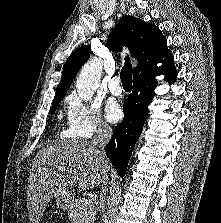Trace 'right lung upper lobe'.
I'll list each match as a JSON object with an SVG mask.
<instances>
[{
    "label": "right lung upper lobe",
    "mask_w": 221,
    "mask_h": 223,
    "mask_svg": "<svg viewBox=\"0 0 221 223\" xmlns=\"http://www.w3.org/2000/svg\"><path fill=\"white\" fill-rule=\"evenodd\" d=\"M122 45H126L131 56L138 60L133 78L155 74L174 65V58L167 49L166 39L155 24L146 23L133 16H124L108 38L110 50L120 52ZM89 56L90 49L84 45L68 57L54 99L66 95L73 78ZM159 62H162V66L157 67Z\"/></svg>",
    "instance_id": "right-lung-upper-lobe-1"
}]
</instances>
